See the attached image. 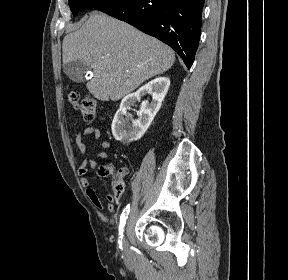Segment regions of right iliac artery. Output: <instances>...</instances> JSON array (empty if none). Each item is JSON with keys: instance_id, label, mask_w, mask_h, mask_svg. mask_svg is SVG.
Wrapping results in <instances>:
<instances>
[{"instance_id": "82829eb1", "label": "right iliac artery", "mask_w": 288, "mask_h": 280, "mask_svg": "<svg viewBox=\"0 0 288 280\" xmlns=\"http://www.w3.org/2000/svg\"><path fill=\"white\" fill-rule=\"evenodd\" d=\"M129 212H130V205L128 204L126 206V208L123 210L121 217H120V224H119V245H120V248H122L123 232H124V227H125Z\"/></svg>"}]
</instances>
